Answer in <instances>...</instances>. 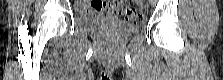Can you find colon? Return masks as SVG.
<instances>
[{"label":"colon","instance_id":"1","mask_svg":"<svg viewBox=\"0 0 223 80\" xmlns=\"http://www.w3.org/2000/svg\"><path fill=\"white\" fill-rule=\"evenodd\" d=\"M120 3V11L124 18L130 23H138L142 19L141 11L136 7H130L127 1H118Z\"/></svg>","mask_w":223,"mask_h":80}]
</instances>
